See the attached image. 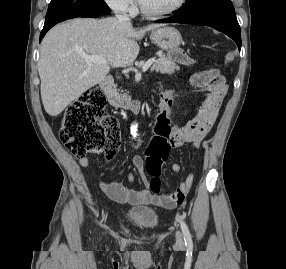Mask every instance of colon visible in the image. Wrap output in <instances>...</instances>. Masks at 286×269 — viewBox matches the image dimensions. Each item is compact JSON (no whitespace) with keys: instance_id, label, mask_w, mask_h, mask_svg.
<instances>
[{"instance_id":"5ec220e1","label":"colon","mask_w":286,"mask_h":269,"mask_svg":"<svg viewBox=\"0 0 286 269\" xmlns=\"http://www.w3.org/2000/svg\"><path fill=\"white\" fill-rule=\"evenodd\" d=\"M169 62H180V66H203V61H194L188 54V49H164ZM193 83L189 88L205 91L206 100L202 110H221L223 100H227V83L217 70L197 72L192 77ZM106 100L102 91L91 88L71 103L61 118L60 138L68 151L76 158H84L88 154L104 151L107 160H112L121 146L120 125L117 119L105 114ZM154 122L158 126L149 133L148 142H144L147 150L145 165L151 177L152 191L161 189L160 175L162 168H166L169 153L173 148L170 131L172 126L169 111H151ZM161 134V135H160ZM185 193L181 194L184 201Z\"/></svg>"}]
</instances>
